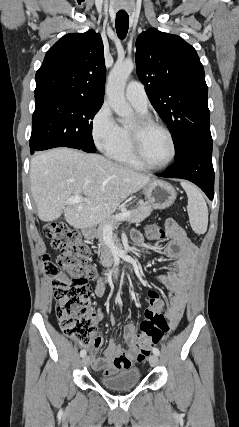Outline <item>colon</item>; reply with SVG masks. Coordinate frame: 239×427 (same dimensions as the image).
Listing matches in <instances>:
<instances>
[{
    "label": "colon",
    "mask_w": 239,
    "mask_h": 427,
    "mask_svg": "<svg viewBox=\"0 0 239 427\" xmlns=\"http://www.w3.org/2000/svg\"><path fill=\"white\" fill-rule=\"evenodd\" d=\"M160 228L159 222L148 226L146 235L152 244L165 243L166 234ZM44 234L60 251L56 262L48 255L43 256L44 271L52 280L60 328L81 346L89 347L96 322L90 306V281L97 275L96 267L88 262L90 250L79 232L65 223L47 224ZM146 297L148 309L137 340L139 361L149 356L151 346L158 344L169 330V323L163 315L165 297L154 287L148 288Z\"/></svg>",
    "instance_id": "obj_1"
}]
</instances>
